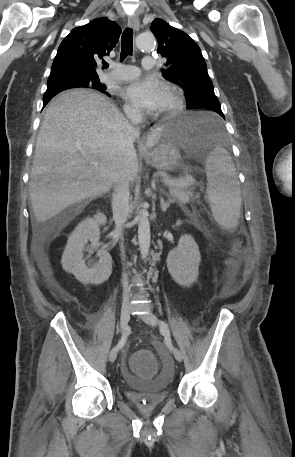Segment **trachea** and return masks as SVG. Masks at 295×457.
Segmentation results:
<instances>
[{
  "mask_svg": "<svg viewBox=\"0 0 295 457\" xmlns=\"http://www.w3.org/2000/svg\"><path fill=\"white\" fill-rule=\"evenodd\" d=\"M133 52V30L126 28L122 34V45L120 60L123 61L128 55H132ZM108 67V65H106Z\"/></svg>",
  "mask_w": 295,
  "mask_h": 457,
  "instance_id": "trachea-1",
  "label": "trachea"
}]
</instances>
